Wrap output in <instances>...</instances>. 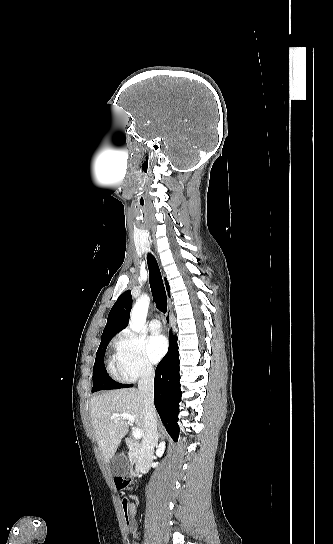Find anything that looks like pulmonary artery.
<instances>
[{
    "mask_svg": "<svg viewBox=\"0 0 333 544\" xmlns=\"http://www.w3.org/2000/svg\"><path fill=\"white\" fill-rule=\"evenodd\" d=\"M149 330L151 333L153 334H157L160 332L161 330V324H160V321L158 319H152L150 322H149Z\"/></svg>",
    "mask_w": 333,
    "mask_h": 544,
    "instance_id": "e3ab8cb5",
    "label": "pulmonary artery"
}]
</instances>
